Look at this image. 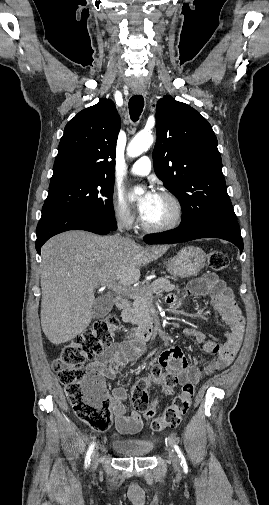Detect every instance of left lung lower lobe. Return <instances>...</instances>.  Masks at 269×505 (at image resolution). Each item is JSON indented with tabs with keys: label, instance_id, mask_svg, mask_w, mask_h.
<instances>
[{
	"label": "left lung lower lobe",
	"instance_id": "0a47b994",
	"mask_svg": "<svg viewBox=\"0 0 269 505\" xmlns=\"http://www.w3.org/2000/svg\"><path fill=\"white\" fill-rule=\"evenodd\" d=\"M205 237L221 238L235 244L240 253L243 251V240L236 218L217 217L194 228L184 229L177 227L175 230L160 235L144 238L147 244L180 243Z\"/></svg>",
	"mask_w": 269,
	"mask_h": 505
}]
</instances>
